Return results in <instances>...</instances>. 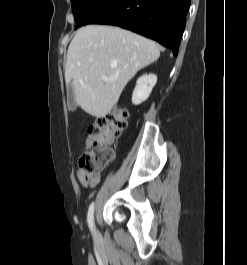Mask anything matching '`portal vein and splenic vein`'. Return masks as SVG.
<instances>
[{
	"label": "portal vein and splenic vein",
	"mask_w": 247,
	"mask_h": 265,
	"mask_svg": "<svg viewBox=\"0 0 247 265\" xmlns=\"http://www.w3.org/2000/svg\"><path fill=\"white\" fill-rule=\"evenodd\" d=\"M102 79H103L104 81L109 80L106 76H102Z\"/></svg>",
	"instance_id": "portal-vein-and-splenic-vein-1"
}]
</instances>
